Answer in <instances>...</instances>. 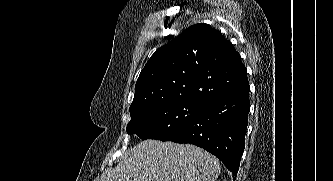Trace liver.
<instances>
[{
    "mask_svg": "<svg viewBox=\"0 0 333 181\" xmlns=\"http://www.w3.org/2000/svg\"><path fill=\"white\" fill-rule=\"evenodd\" d=\"M220 173L219 160L198 146L145 140L102 181H216Z\"/></svg>",
    "mask_w": 333,
    "mask_h": 181,
    "instance_id": "obj_1",
    "label": "liver"
}]
</instances>
